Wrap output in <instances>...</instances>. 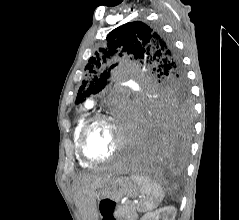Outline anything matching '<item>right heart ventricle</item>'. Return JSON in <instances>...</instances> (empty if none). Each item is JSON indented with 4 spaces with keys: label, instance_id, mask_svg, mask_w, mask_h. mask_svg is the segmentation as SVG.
<instances>
[{
    "label": "right heart ventricle",
    "instance_id": "1",
    "mask_svg": "<svg viewBox=\"0 0 239 220\" xmlns=\"http://www.w3.org/2000/svg\"><path fill=\"white\" fill-rule=\"evenodd\" d=\"M85 123H86V117L85 115H81L79 119L77 120L75 129H74L73 140H74L75 152H76V156L78 158L79 164L82 167L87 168V167H91L92 164L86 162L84 159L80 157L79 149H78L79 135Z\"/></svg>",
    "mask_w": 239,
    "mask_h": 220
}]
</instances>
